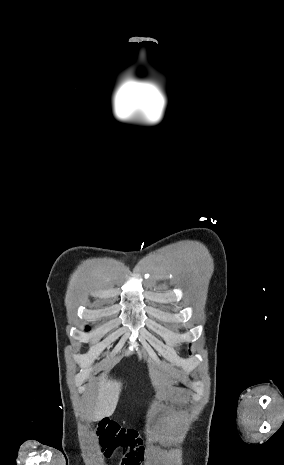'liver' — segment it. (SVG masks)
<instances>
[{"instance_id":"liver-1","label":"liver","mask_w":284,"mask_h":465,"mask_svg":"<svg viewBox=\"0 0 284 465\" xmlns=\"http://www.w3.org/2000/svg\"><path fill=\"white\" fill-rule=\"evenodd\" d=\"M174 383H177V381H174ZM121 387L122 383L108 381L106 375H103L99 383L94 409L88 415L89 421H101L104 417L113 415L119 401Z\"/></svg>"}]
</instances>
